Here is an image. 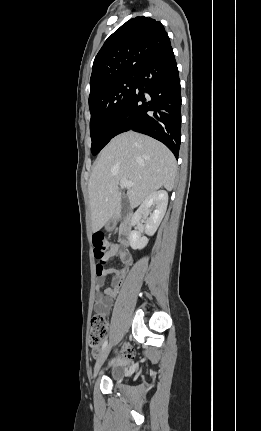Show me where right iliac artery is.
I'll list each match as a JSON object with an SVG mask.
<instances>
[{
    "label": "right iliac artery",
    "mask_w": 261,
    "mask_h": 431,
    "mask_svg": "<svg viewBox=\"0 0 261 431\" xmlns=\"http://www.w3.org/2000/svg\"><path fill=\"white\" fill-rule=\"evenodd\" d=\"M108 341L106 340L102 345V351L107 347Z\"/></svg>",
    "instance_id": "1"
}]
</instances>
